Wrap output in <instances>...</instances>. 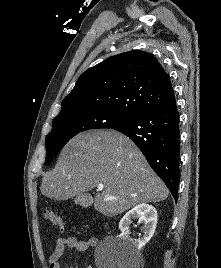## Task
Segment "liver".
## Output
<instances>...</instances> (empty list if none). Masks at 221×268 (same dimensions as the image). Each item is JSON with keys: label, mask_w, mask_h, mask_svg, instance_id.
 Returning <instances> with one entry per match:
<instances>
[{"label": "liver", "mask_w": 221, "mask_h": 268, "mask_svg": "<svg viewBox=\"0 0 221 268\" xmlns=\"http://www.w3.org/2000/svg\"><path fill=\"white\" fill-rule=\"evenodd\" d=\"M103 185L94 208L113 217L142 204L163 201L169 191L138 147L114 130L81 133L62 149L55 168L46 173L41 193L57 201H84L86 192ZM106 196L116 199L107 200Z\"/></svg>", "instance_id": "1"}]
</instances>
